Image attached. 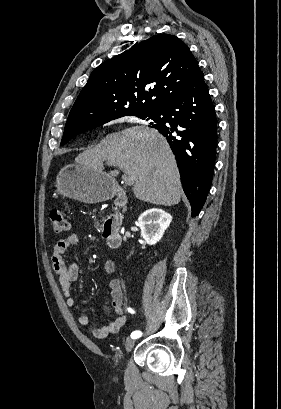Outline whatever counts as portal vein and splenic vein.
Instances as JSON below:
<instances>
[{
    "instance_id": "18ae733b",
    "label": "portal vein and splenic vein",
    "mask_w": 281,
    "mask_h": 409,
    "mask_svg": "<svg viewBox=\"0 0 281 409\" xmlns=\"http://www.w3.org/2000/svg\"><path fill=\"white\" fill-rule=\"evenodd\" d=\"M106 164L112 166V162H106ZM122 182H125L127 188H132L133 185L136 183V178L134 176H130V174H123Z\"/></svg>"
}]
</instances>
